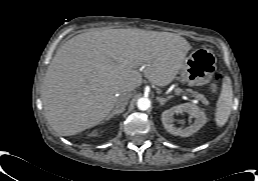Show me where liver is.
I'll use <instances>...</instances> for the list:
<instances>
[{
	"mask_svg": "<svg viewBox=\"0 0 258 181\" xmlns=\"http://www.w3.org/2000/svg\"><path fill=\"white\" fill-rule=\"evenodd\" d=\"M190 49L177 34L141 29L94 30L71 38L57 50L41 85L49 125L61 136L98 125L120 95L141 85L142 73L157 86L171 83Z\"/></svg>",
	"mask_w": 258,
	"mask_h": 181,
	"instance_id": "obj_1",
	"label": "liver"
}]
</instances>
